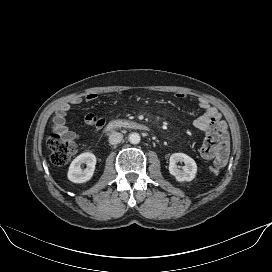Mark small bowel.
Wrapping results in <instances>:
<instances>
[{
    "instance_id": "small-bowel-1",
    "label": "small bowel",
    "mask_w": 272,
    "mask_h": 272,
    "mask_svg": "<svg viewBox=\"0 0 272 272\" xmlns=\"http://www.w3.org/2000/svg\"><path fill=\"white\" fill-rule=\"evenodd\" d=\"M178 99L185 98L182 93H177ZM97 99V94L90 93L85 96L86 102H92ZM82 98L74 97L69 102L63 103L56 111L53 118L54 131L66 140H76L79 135L70 129L67 125V113L71 105L81 103ZM199 106L203 109V114L195 119L194 126L205 132L206 137L199 151L200 157L207 161H213L216 167L222 168L226 165L229 157L230 138L226 123L216 108L211 106L205 99H199ZM85 123L98 131L105 123L101 116L89 113L84 118Z\"/></svg>"
}]
</instances>
